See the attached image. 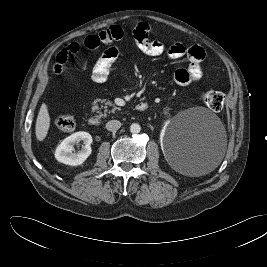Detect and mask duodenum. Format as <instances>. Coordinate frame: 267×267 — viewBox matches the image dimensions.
I'll list each match as a JSON object with an SVG mask.
<instances>
[{
    "label": "duodenum",
    "mask_w": 267,
    "mask_h": 267,
    "mask_svg": "<svg viewBox=\"0 0 267 267\" xmlns=\"http://www.w3.org/2000/svg\"><path fill=\"white\" fill-rule=\"evenodd\" d=\"M136 110L137 111H145L148 109V103L145 102V101H141L139 103L136 104ZM88 124L91 125V126H97L100 124V118L97 117V116H91L89 119H88Z\"/></svg>",
    "instance_id": "obj_1"
}]
</instances>
